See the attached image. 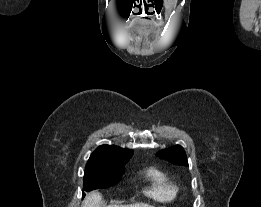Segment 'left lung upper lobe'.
<instances>
[{
	"instance_id": "left-lung-upper-lobe-1",
	"label": "left lung upper lobe",
	"mask_w": 261,
	"mask_h": 207,
	"mask_svg": "<svg viewBox=\"0 0 261 207\" xmlns=\"http://www.w3.org/2000/svg\"><path fill=\"white\" fill-rule=\"evenodd\" d=\"M168 160L171 163L188 166L187 157L183 147L175 145L169 149L162 150L156 154Z\"/></svg>"
}]
</instances>
